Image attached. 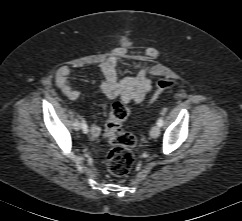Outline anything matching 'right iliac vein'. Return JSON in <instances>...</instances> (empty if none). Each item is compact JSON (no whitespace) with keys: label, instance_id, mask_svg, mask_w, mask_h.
Returning a JSON list of instances; mask_svg holds the SVG:
<instances>
[{"label":"right iliac vein","instance_id":"1","mask_svg":"<svg viewBox=\"0 0 242 221\" xmlns=\"http://www.w3.org/2000/svg\"><path fill=\"white\" fill-rule=\"evenodd\" d=\"M73 126H74V129H75V130H79L80 127H81V123H80L78 120H76V121L74 122Z\"/></svg>","mask_w":242,"mask_h":221}]
</instances>
